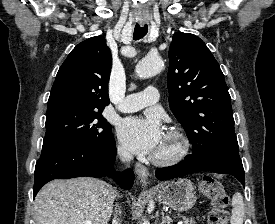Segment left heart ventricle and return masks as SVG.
I'll use <instances>...</instances> for the list:
<instances>
[{"instance_id":"left-heart-ventricle-1","label":"left heart ventricle","mask_w":275,"mask_h":224,"mask_svg":"<svg viewBox=\"0 0 275 224\" xmlns=\"http://www.w3.org/2000/svg\"><path fill=\"white\" fill-rule=\"evenodd\" d=\"M165 146H166V142H165V140H163V143H162V145L160 146V148L158 149L157 152H160L161 150H163Z\"/></svg>"}]
</instances>
